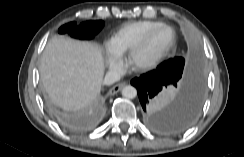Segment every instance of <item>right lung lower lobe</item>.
Wrapping results in <instances>:
<instances>
[{"instance_id":"1","label":"right lung lower lobe","mask_w":244,"mask_h":157,"mask_svg":"<svg viewBox=\"0 0 244 157\" xmlns=\"http://www.w3.org/2000/svg\"><path fill=\"white\" fill-rule=\"evenodd\" d=\"M60 121L68 128L70 129H76L77 128V124L75 121L73 120H69V119H60Z\"/></svg>"}]
</instances>
